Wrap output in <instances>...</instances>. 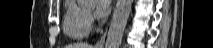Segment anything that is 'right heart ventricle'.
<instances>
[{
	"label": "right heart ventricle",
	"instance_id": "1",
	"mask_svg": "<svg viewBox=\"0 0 213 48\" xmlns=\"http://www.w3.org/2000/svg\"><path fill=\"white\" fill-rule=\"evenodd\" d=\"M63 31L71 39L79 40L90 32V23L84 9L74 0H69L63 15Z\"/></svg>",
	"mask_w": 213,
	"mask_h": 48
}]
</instances>
